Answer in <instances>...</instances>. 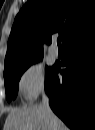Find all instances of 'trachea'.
Masks as SVG:
<instances>
[{"label": "trachea", "mask_w": 95, "mask_h": 130, "mask_svg": "<svg viewBox=\"0 0 95 130\" xmlns=\"http://www.w3.org/2000/svg\"><path fill=\"white\" fill-rule=\"evenodd\" d=\"M57 44H58L59 47H62L60 38L57 39Z\"/></svg>", "instance_id": "obj_1"}]
</instances>
